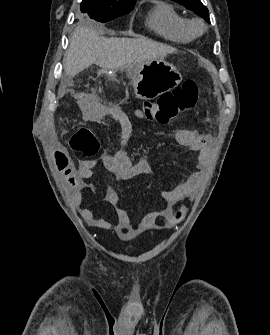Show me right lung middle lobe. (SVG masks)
<instances>
[{"label": "right lung middle lobe", "mask_w": 270, "mask_h": 335, "mask_svg": "<svg viewBox=\"0 0 270 335\" xmlns=\"http://www.w3.org/2000/svg\"><path fill=\"white\" fill-rule=\"evenodd\" d=\"M135 3L120 5H101L95 0H83L80 9L87 19H93L102 23L129 13Z\"/></svg>", "instance_id": "right-lung-middle-lobe-1"}]
</instances>
